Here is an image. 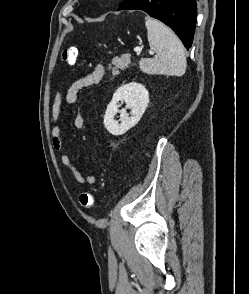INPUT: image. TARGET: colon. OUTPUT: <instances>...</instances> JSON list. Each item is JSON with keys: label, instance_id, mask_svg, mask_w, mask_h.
<instances>
[{"label": "colon", "instance_id": "1", "mask_svg": "<svg viewBox=\"0 0 249 294\" xmlns=\"http://www.w3.org/2000/svg\"><path fill=\"white\" fill-rule=\"evenodd\" d=\"M78 57V48L65 47L61 53V59L64 63L73 65ZM79 204L84 209H91L94 206V196L90 192H82L79 196Z\"/></svg>", "mask_w": 249, "mask_h": 294}]
</instances>
